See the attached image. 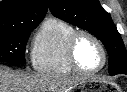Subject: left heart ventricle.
Instances as JSON below:
<instances>
[{"label":"left heart ventricle","instance_id":"obj_1","mask_svg":"<svg viewBox=\"0 0 127 92\" xmlns=\"http://www.w3.org/2000/svg\"><path fill=\"white\" fill-rule=\"evenodd\" d=\"M75 55L79 66L86 70H94L102 63L99 47L88 37H81L76 45Z\"/></svg>","mask_w":127,"mask_h":92}]
</instances>
